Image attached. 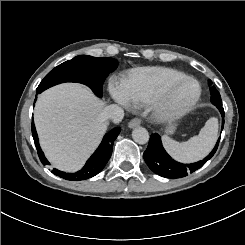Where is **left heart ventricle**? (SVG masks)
<instances>
[{
	"instance_id": "1",
	"label": "left heart ventricle",
	"mask_w": 245,
	"mask_h": 245,
	"mask_svg": "<svg viewBox=\"0 0 245 245\" xmlns=\"http://www.w3.org/2000/svg\"><path fill=\"white\" fill-rule=\"evenodd\" d=\"M196 94V86L192 82H184L174 87L167 94V102L173 106H181L189 103Z\"/></svg>"
}]
</instances>
